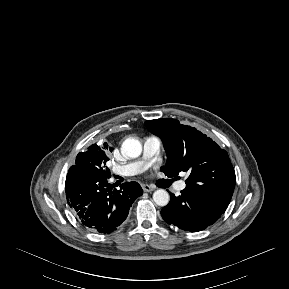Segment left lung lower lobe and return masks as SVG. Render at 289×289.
Listing matches in <instances>:
<instances>
[{"mask_svg":"<svg viewBox=\"0 0 289 289\" xmlns=\"http://www.w3.org/2000/svg\"><path fill=\"white\" fill-rule=\"evenodd\" d=\"M181 193L178 197L170 193V202L161 210V215L166 223L186 231L206 229L217 221L229 205L190 188H185Z\"/></svg>","mask_w":289,"mask_h":289,"instance_id":"0a47b994","label":"left lung lower lobe"}]
</instances>
